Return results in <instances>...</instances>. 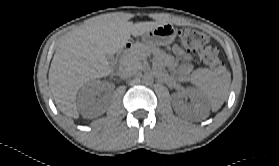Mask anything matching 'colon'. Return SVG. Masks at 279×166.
<instances>
[{
    "label": "colon",
    "instance_id": "obj_1",
    "mask_svg": "<svg viewBox=\"0 0 279 166\" xmlns=\"http://www.w3.org/2000/svg\"><path fill=\"white\" fill-rule=\"evenodd\" d=\"M179 37L183 47L194 53L202 63L219 74L225 73L217 48L210 44L204 33L186 28L179 31Z\"/></svg>",
    "mask_w": 279,
    "mask_h": 166
}]
</instances>
